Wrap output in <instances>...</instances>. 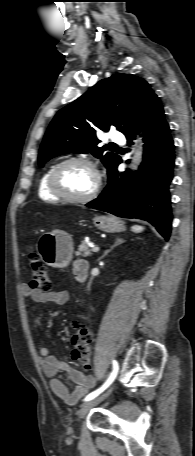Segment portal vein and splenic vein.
I'll list each match as a JSON object with an SVG mask.
<instances>
[{
  "label": "portal vein and splenic vein",
  "instance_id": "1",
  "mask_svg": "<svg viewBox=\"0 0 195 456\" xmlns=\"http://www.w3.org/2000/svg\"><path fill=\"white\" fill-rule=\"evenodd\" d=\"M99 250H100L99 247H93V248H92V251L95 252V253L98 252Z\"/></svg>",
  "mask_w": 195,
  "mask_h": 456
}]
</instances>
